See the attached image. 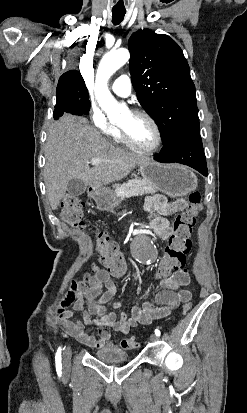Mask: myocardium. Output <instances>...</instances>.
Here are the masks:
<instances>
[{
    "instance_id": "myocardium-1",
    "label": "myocardium",
    "mask_w": 247,
    "mask_h": 413,
    "mask_svg": "<svg viewBox=\"0 0 247 413\" xmlns=\"http://www.w3.org/2000/svg\"><path fill=\"white\" fill-rule=\"evenodd\" d=\"M135 114L138 117H142V118L146 119L150 123L152 128H154L156 130V133H157L156 142L152 146H143V145L139 144L137 141H135L127 133V131L125 129L119 127V134L121 136V139L124 141V143L126 145H128L132 149H135L136 151L141 152V153H152V152H155V151L159 150L162 147L163 143H164V133H163L161 127L159 126V124L155 121V119L148 112H146L144 110H140V111H136Z\"/></svg>"
}]
</instances>
